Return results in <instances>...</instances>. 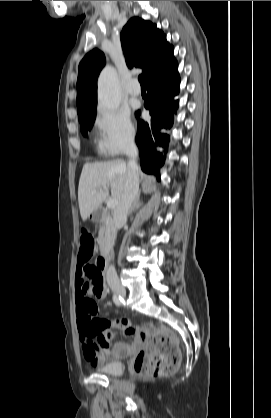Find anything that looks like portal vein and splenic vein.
Masks as SVG:
<instances>
[{
    "label": "portal vein and splenic vein",
    "mask_w": 271,
    "mask_h": 418,
    "mask_svg": "<svg viewBox=\"0 0 271 418\" xmlns=\"http://www.w3.org/2000/svg\"><path fill=\"white\" fill-rule=\"evenodd\" d=\"M104 190L108 191V188H107V187H105V188H104ZM117 205H118V200H116V199H111V200H109V201L107 202V207H108L109 209H113V208H115Z\"/></svg>",
    "instance_id": "18ae733b"
}]
</instances>
